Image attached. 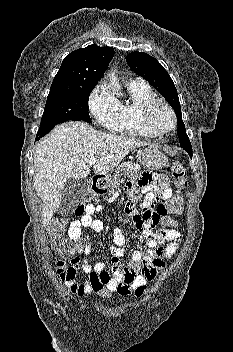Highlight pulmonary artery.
Returning a JSON list of instances; mask_svg holds the SVG:
<instances>
[{
    "instance_id": "obj_1",
    "label": "pulmonary artery",
    "mask_w": 233,
    "mask_h": 352,
    "mask_svg": "<svg viewBox=\"0 0 233 352\" xmlns=\"http://www.w3.org/2000/svg\"><path fill=\"white\" fill-rule=\"evenodd\" d=\"M133 82H143V80L140 79V78H136V79H131V80L129 81V83H133Z\"/></svg>"
}]
</instances>
